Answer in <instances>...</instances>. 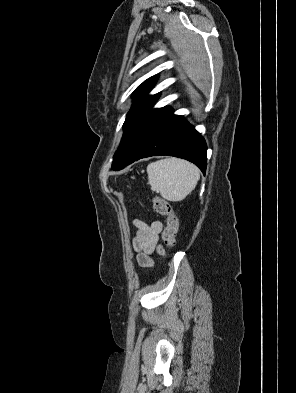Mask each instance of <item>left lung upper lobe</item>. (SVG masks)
<instances>
[{"label": "left lung upper lobe", "mask_w": 296, "mask_h": 393, "mask_svg": "<svg viewBox=\"0 0 296 393\" xmlns=\"http://www.w3.org/2000/svg\"><path fill=\"white\" fill-rule=\"evenodd\" d=\"M156 81L153 76L143 82L134 92V104L124 122V134L118 150L113 157L112 169L120 170L124 167L132 150L151 122L167 107L152 109L159 97V93L147 96Z\"/></svg>", "instance_id": "obj_1"}]
</instances>
